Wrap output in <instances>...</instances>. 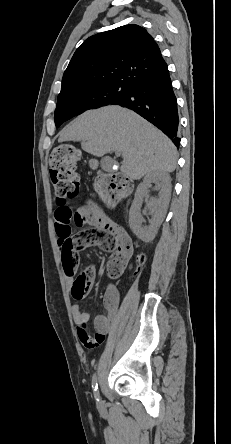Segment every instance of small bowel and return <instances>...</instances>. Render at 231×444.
Wrapping results in <instances>:
<instances>
[{
  "label": "small bowel",
  "instance_id": "small-bowel-1",
  "mask_svg": "<svg viewBox=\"0 0 231 444\" xmlns=\"http://www.w3.org/2000/svg\"><path fill=\"white\" fill-rule=\"evenodd\" d=\"M77 215L83 219V224L89 223L94 227L74 234L72 222L75 221ZM54 221L62 257L66 251L78 254L79 251L90 246H97L105 251H124L129 257L132 254V241L126 231L91 202L84 203L73 215L67 202L58 200ZM64 271L67 278L73 280L75 270L64 267ZM120 303L121 298L117 287L109 285L104 294V307L107 313L95 317L94 333L88 330L89 314L81 311L78 304L72 306L71 313L76 324L77 335L84 346L93 348L103 342L105 335L112 329Z\"/></svg>",
  "mask_w": 231,
  "mask_h": 444
}]
</instances>
